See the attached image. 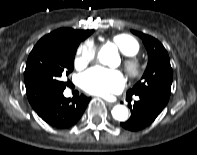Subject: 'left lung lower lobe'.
<instances>
[{"label":"left lung lower lobe","instance_id":"obj_1","mask_svg":"<svg viewBox=\"0 0 197 155\" xmlns=\"http://www.w3.org/2000/svg\"><path fill=\"white\" fill-rule=\"evenodd\" d=\"M139 96V100L134 102V105H129L131 109V116L126 122L120 125L130 131H138L150 125L156 117L160 114L165 104L146 96ZM132 96L127 95V99Z\"/></svg>","mask_w":197,"mask_h":155}]
</instances>
